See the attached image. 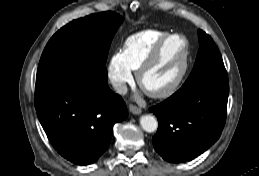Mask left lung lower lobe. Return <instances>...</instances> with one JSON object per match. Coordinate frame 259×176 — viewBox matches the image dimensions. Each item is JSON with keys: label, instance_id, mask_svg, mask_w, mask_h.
I'll list each match as a JSON object with an SVG mask.
<instances>
[{"label": "left lung lower lobe", "instance_id": "left-lung-lower-lobe-1", "mask_svg": "<svg viewBox=\"0 0 259 176\" xmlns=\"http://www.w3.org/2000/svg\"><path fill=\"white\" fill-rule=\"evenodd\" d=\"M228 81L203 78L150 108L158 119L153 146L163 159L182 163L214 144L225 125Z\"/></svg>", "mask_w": 259, "mask_h": 176}]
</instances>
